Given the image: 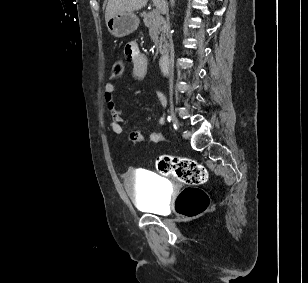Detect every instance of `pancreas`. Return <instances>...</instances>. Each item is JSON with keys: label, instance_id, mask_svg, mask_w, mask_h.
Wrapping results in <instances>:
<instances>
[{"label": "pancreas", "instance_id": "pancreas-1", "mask_svg": "<svg viewBox=\"0 0 308 283\" xmlns=\"http://www.w3.org/2000/svg\"><path fill=\"white\" fill-rule=\"evenodd\" d=\"M160 13V11L143 12L141 13V17H143V22L146 27L155 29L159 33L161 32L158 49L161 53L166 54L168 49L167 39L169 38V26Z\"/></svg>", "mask_w": 308, "mask_h": 283}]
</instances>
